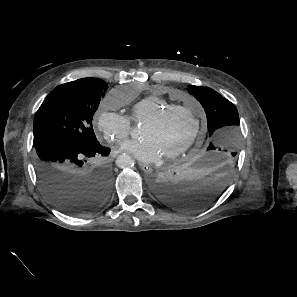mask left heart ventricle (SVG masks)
Segmentation results:
<instances>
[{
  "mask_svg": "<svg viewBox=\"0 0 297 297\" xmlns=\"http://www.w3.org/2000/svg\"><path fill=\"white\" fill-rule=\"evenodd\" d=\"M195 123L191 114L174 112L155 124H142L141 138L152 139L162 154L173 151L184 144L191 136Z\"/></svg>",
  "mask_w": 297,
  "mask_h": 297,
  "instance_id": "1",
  "label": "left heart ventricle"
}]
</instances>
